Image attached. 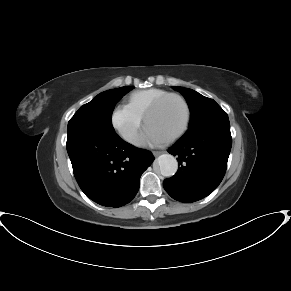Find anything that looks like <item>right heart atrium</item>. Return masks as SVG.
Returning a JSON list of instances; mask_svg holds the SVG:
<instances>
[{"label": "right heart atrium", "instance_id": "d8ad5b80", "mask_svg": "<svg viewBox=\"0 0 291 291\" xmlns=\"http://www.w3.org/2000/svg\"><path fill=\"white\" fill-rule=\"evenodd\" d=\"M142 123V116L129 105L115 106L111 114V124L118 134L126 141L133 142Z\"/></svg>", "mask_w": 291, "mask_h": 291}]
</instances>
